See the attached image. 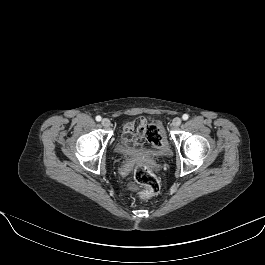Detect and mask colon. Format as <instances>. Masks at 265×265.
I'll return each instance as SVG.
<instances>
[{
	"mask_svg": "<svg viewBox=\"0 0 265 265\" xmlns=\"http://www.w3.org/2000/svg\"><path fill=\"white\" fill-rule=\"evenodd\" d=\"M141 123V121H139ZM139 130L143 137L155 148L163 149L165 147V139L160 127L153 122L143 123L139 125ZM134 176L137 183L145 188V196H152L160 189L158 179L149 170L146 164L138 163L134 169Z\"/></svg>",
	"mask_w": 265,
	"mask_h": 265,
	"instance_id": "1",
	"label": "colon"
}]
</instances>
